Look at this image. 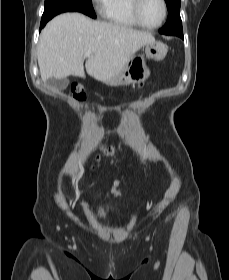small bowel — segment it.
<instances>
[{"mask_svg": "<svg viewBox=\"0 0 229 280\" xmlns=\"http://www.w3.org/2000/svg\"><path fill=\"white\" fill-rule=\"evenodd\" d=\"M119 181H116L115 183H114V186H113V188H112V193L114 194V195H119L120 194V190H118V186H119Z\"/></svg>", "mask_w": 229, "mask_h": 280, "instance_id": "obj_1", "label": "small bowel"}]
</instances>
